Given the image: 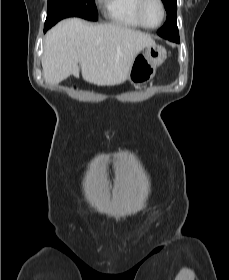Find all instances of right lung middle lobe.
<instances>
[{"instance_id": "dd1d6c3e", "label": "right lung middle lobe", "mask_w": 229, "mask_h": 280, "mask_svg": "<svg viewBox=\"0 0 229 280\" xmlns=\"http://www.w3.org/2000/svg\"><path fill=\"white\" fill-rule=\"evenodd\" d=\"M97 15L95 0H48L45 27L49 29L59 20L71 16L96 21Z\"/></svg>"}]
</instances>
